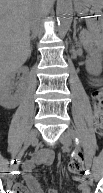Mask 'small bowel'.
<instances>
[{
  "label": "small bowel",
  "mask_w": 103,
  "mask_h": 193,
  "mask_svg": "<svg viewBox=\"0 0 103 193\" xmlns=\"http://www.w3.org/2000/svg\"><path fill=\"white\" fill-rule=\"evenodd\" d=\"M53 159H54V154L51 150H42L32 160L26 161L22 165V170H23L22 177L25 180L30 190V193H44L43 188L37 176L34 174V169L38 165H50L53 162ZM75 179L79 182V185H78L79 193H89L88 180L86 175L78 176ZM19 186H23V185L15 184L13 187V192L11 193H17L15 189ZM48 193H59V191L50 189L48 190Z\"/></svg>",
  "instance_id": "c3829d8e"
}]
</instances>
